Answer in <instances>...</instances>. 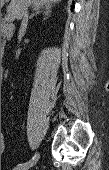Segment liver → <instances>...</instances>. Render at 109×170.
<instances>
[{"label": "liver", "mask_w": 109, "mask_h": 170, "mask_svg": "<svg viewBox=\"0 0 109 170\" xmlns=\"http://www.w3.org/2000/svg\"><path fill=\"white\" fill-rule=\"evenodd\" d=\"M5 1L7 2L8 0H1L3 4ZM26 1H29V4H32L34 9L36 10L44 6L51 7L53 3H58L61 0H10V4L8 6L7 11L12 12L16 19L18 20L21 19L23 8Z\"/></svg>", "instance_id": "6515ba94"}]
</instances>
